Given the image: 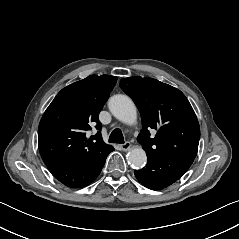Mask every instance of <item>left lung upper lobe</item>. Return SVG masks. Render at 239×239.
Wrapping results in <instances>:
<instances>
[{
  "label": "left lung upper lobe",
  "instance_id": "1",
  "mask_svg": "<svg viewBox=\"0 0 239 239\" xmlns=\"http://www.w3.org/2000/svg\"><path fill=\"white\" fill-rule=\"evenodd\" d=\"M120 87L134 100L142 126L137 141L147 156H184L195 158L200 128L195 112L178 89L153 78H123ZM156 129L154 138L149 130Z\"/></svg>",
  "mask_w": 239,
  "mask_h": 239
}]
</instances>
